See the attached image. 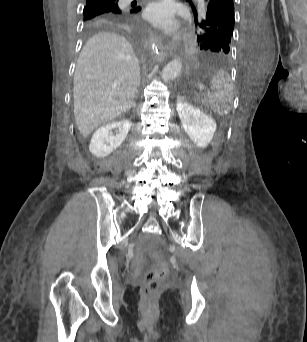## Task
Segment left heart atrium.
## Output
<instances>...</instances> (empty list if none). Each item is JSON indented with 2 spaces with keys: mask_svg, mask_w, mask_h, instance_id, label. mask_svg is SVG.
Returning a JSON list of instances; mask_svg holds the SVG:
<instances>
[{
  "mask_svg": "<svg viewBox=\"0 0 307 342\" xmlns=\"http://www.w3.org/2000/svg\"><path fill=\"white\" fill-rule=\"evenodd\" d=\"M146 15L153 25L163 30L173 31L176 27V23L174 21V10L168 3H156L150 5L147 9Z\"/></svg>",
  "mask_w": 307,
  "mask_h": 342,
  "instance_id": "left-heart-atrium-1",
  "label": "left heart atrium"
}]
</instances>
